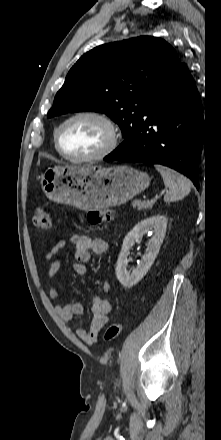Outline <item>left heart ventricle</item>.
I'll use <instances>...</instances> for the list:
<instances>
[{"label":"left heart ventricle","mask_w":221,"mask_h":440,"mask_svg":"<svg viewBox=\"0 0 221 440\" xmlns=\"http://www.w3.org/2000/svg\"><path fill=\"white\" fill-rule=\"evenodd\" d=\"M108 131L98 120L79 118L68 123L60 133L62 150L73 157L96 154L106 144Z\"/></svg>","instance_id":"obj_1"}]
</instances>
